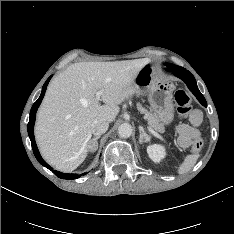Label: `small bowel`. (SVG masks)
I'll list each match as a JSON object with an SVG mask.
<instances>
[{"mask_svg": "<svg viewBox=\"0 0 234 234\" xmlns=\"http://www.w3.org/2000/svg\"><path fill=\"white\" fill-rule=\"evenodd\" d=\"M202 122V114L200 111H193L189 119V124H180L177 127V142L179 146L186 148L190 145L191 141L200 136L198 126Z\"/></svg>", "mask_w": 234, "mask_h": 234, "instance_id": "obj_1", "label": "small bowel"}]
</instances>
